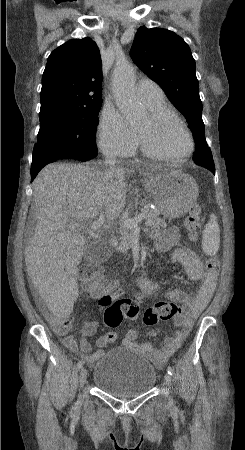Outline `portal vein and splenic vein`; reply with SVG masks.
<instances>
[{"label": "portal vein and splenic vein", "mask_w": 245, "mask_h": 450, "mask_svg": "<svg viewBox=\"0 0 245 450\" xmlns=\"http://www.w3.org/2000/svg\"><path fill=\"white\" fill-rule=\"evenodd\" d=\"M146 215L144 213L139 214L138 216L134 218H127L125 220H122L120 225L124 228L130 229V230H139V222H141L143 219H145ZM104 214H100V217L97 221H94L91 223V229L96 230L102 226L104 223ZM69 229L71 231H75L77 229V226L74 224L69 225Z\"/></svg>", "instance_id": "portal-vein-and-splenic-vein-1"}]
</instances>
